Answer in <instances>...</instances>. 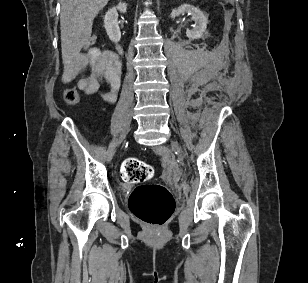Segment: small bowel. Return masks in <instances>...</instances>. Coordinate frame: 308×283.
<instances>
[{
    "mask_svg": "<svg viewBox=\"0 0 308 283\" xmlns=\"http://www.w3.org/2000/svg\"><path fill=\"white\" fill-rule=\"evenodd\" d=\"M89 68L86 76L80 77L85 68ZM66 76L75 80L77 87L86 95L99 94L108 103H114L120 88V65L116 56L103 49H91L79 53L68 64ZM106 83L108 89L101 91V83Z\"/></svg>",
    "mask_w": 308,
    "mask_h": 283,
    "instance_id": "obj_1",
    "label": "small bowel"
}]
</instances>
